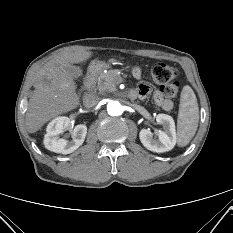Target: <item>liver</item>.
Listing matches in <instances>:
<instances>
[{
  "instance_id": "liver-1",
  "label": "liver",
  "mask_w": 233,
  "mask_h": 233,
  "mask_svg": "<svg viewBox=\"0 0 233 233\" xmlns=\"http://www.w3.org/2000/svg\"><path fill=\"white\" fill-rule=\"evenodd\" d=\"M91 51L79 48L64 52L47 62L34 77L35 90L29 99L26 128L35 133L52 118L75 109L80 102L73 77L66 67L89 59Z\"/></svg>"
}]
</instances>
